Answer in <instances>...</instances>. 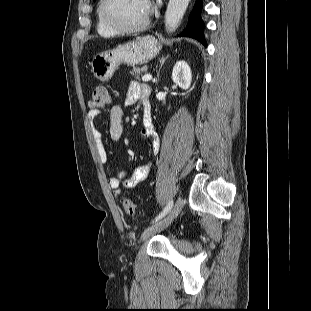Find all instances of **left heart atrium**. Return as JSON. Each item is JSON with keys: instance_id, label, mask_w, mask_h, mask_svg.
Wrapping results in <instances>:
<instances>
[{"instance_id": "left-heart-atrium-1", "label": "left heart atrium", "mask_w": 311, "mask_h": 311, "mask_svg": "<svg viewBox=\"0 0 311 311\" xmlns=\"http://www.w3.org/2000/svg\"><path fill=\"white\" fill-rule=\"evenodd\" d=\"M147 2H148L149 9H150L151 7L150 0H147Z\"/></svg>"}]
</instances>
